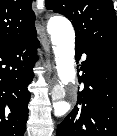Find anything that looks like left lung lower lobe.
I'll return each mask as SVG.
<instances>
[{"instance_id":"1","label":"left lung lower lobe","mask_w":117,"mask_h":136,"mask_svg":"<svg viewBox=\"0 0 117 136\" xmlns=\"http://www.w3.org/2000/svg\"><path fill=\"white\" fill-rule=\"evenodd\" d=\"M82 53L87 54L79 77L84 88L57 136H117V54L76 43L77 60Z\"/></svg>"}]
</instances>
